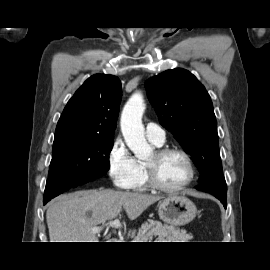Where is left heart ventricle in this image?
<instances>
[{
    "mask_svg": "<svg viewBox=\"0 0 270 270\" xmlns=\"http://www.w3.org/2000/svg\"><path fill=\"white\" fill-rule=\"evenodd\" d=\"M146 162L154 165L158 181L165 186H177L188 177L187 164L179 154L171 153L161 158H156L155 153H152Z\"/></svg>",
    "mask_w": 270,
    "mask_h": 270,
    "instance_id": "1",
    "label": "left heart ventricle"
}]
</instances>
